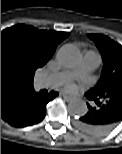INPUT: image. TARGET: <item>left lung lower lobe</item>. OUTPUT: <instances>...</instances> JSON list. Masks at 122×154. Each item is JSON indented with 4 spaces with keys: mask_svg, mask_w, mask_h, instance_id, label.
<instances>
[{
    "mask_svg": "<svg viewBox=\"0 0 122 154\" xmlns=\"http://www.w3.org/2000/svg\"><path fill=\"white\" fill-rule=\"evenodd\" d=\"M88 100L95 102L89 111L76 120V127L91 135H102L111 131L122 121V89L111 93L108 97L98 98L85 94Z\"/></svg>",
    "mask_w": 122,
    "mask_h": 154,
    "instance_id": "left-lung-lower-lobe-1",
    "label": "left lung lower lobe"
}]
</instances>
